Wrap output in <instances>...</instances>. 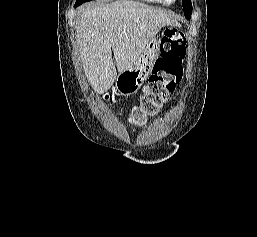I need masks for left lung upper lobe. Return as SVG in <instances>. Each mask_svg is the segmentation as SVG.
I'll use <instances>...</instances> for the list:
<instances>
[{"instance_id": "1", "label": "left lung upper lobe", "mask_w": 257, "mask_h": 237, "mask_svg": "<svg viewBox=\"0 0 257 237\" xmlns=\"http://www.w3.org/2000/svg\"><path fill=\"white\" fill-rule=\"evenodd\" d=\"M185 18L190 19L192 13L191 0H182Z\"/></svg>"}]
</instances>
